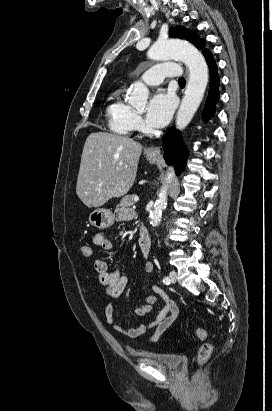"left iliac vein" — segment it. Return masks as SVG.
Returning <instances> with one entry per match:
<instances>
[{
  "label": "left iliac vein",
  "instance_id": "left-iliac-vein-1",
  "mask_svg": "<svg viewBox=\"0 0 272 411\" xmlns=\"http://www.w3.org/2000/svg\"><path fill=\"white\" fill-rule=\"evenodd\" d=\"M170 280L172 283H176L177 281V273L175 271H171L169 274Z\"/></svg>",
  "mask_w": 272,
  "mask_h": 411
}]
</instances>
